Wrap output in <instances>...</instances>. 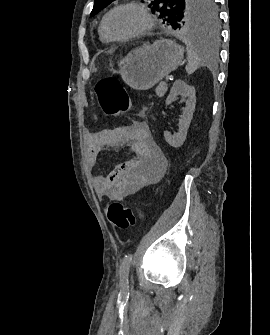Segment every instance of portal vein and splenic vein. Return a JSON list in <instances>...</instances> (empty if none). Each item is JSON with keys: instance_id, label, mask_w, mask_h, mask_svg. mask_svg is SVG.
Wrapping results in <instances>:
<instances>
[{"instance_id": "portal-vein-and-splenic-vein-1", "label": "portal vein and splenic vein", "mask_w": 270, "mask_h": 335, "mask_svg": "<svg viewBox=\"0 0 270 335\" xmlns=\"http://www.w3.org/2000/svg\"><path fill=\"white\" fill-rule=\"evenodd\" d=\"M170 73H171V72H170ZM164 78H165V81L168 83V82L170 81L169 79H170L171 77H170L169 75H168V76L166 75Z\"/></svg>"}]
</instances>
